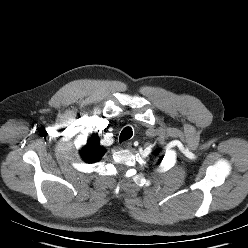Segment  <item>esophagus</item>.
I'll list each match as a JSON object with an SVG mask.
<instances>
[{
  "instance_id": "esophagus-1",
  "label": "esophagus",
  "mask_w": 248,
  "mask_h": 248,
  "mask_svg": "<svg viewBox=\"0 0 248 248\" xmlns=\"http://www.w3.org/2000/svg\"><path fill=\"white\" fill-rule=\"evenodd\" d=\"M123 147H124L125 149H131V148H132V143H131V142H125V143L123 144Z\"/></svg>"
}]
</instances>
